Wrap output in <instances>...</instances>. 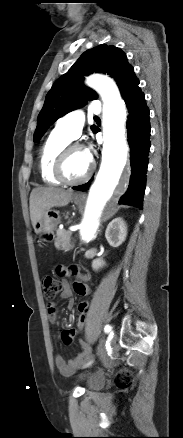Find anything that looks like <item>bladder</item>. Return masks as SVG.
I'll return each mask as SVG.
<instances>
[{
  "mask_svg": "<svg viewBox=\"0 0 183 438\" xmlns=\"http://www.w3.org/2000/svg\"><path fill=\"white\" fill-rule=\"evenodd\" d=\"M105 380L102 375H93L88 379L87 385L90 389H97L104 385Z\"/></svg>",
  "mask_w": 183,
  "mask_h": 438,
  "instance_id": "1",
  "label": "bladder"
}]
</instances>
